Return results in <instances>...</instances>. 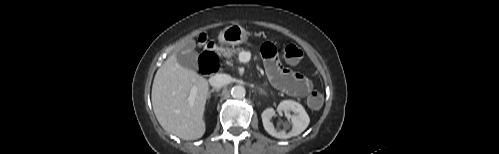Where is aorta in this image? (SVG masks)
Listing matches in <instances>:
<instances>
[{"label":"aorta","mask_w":499,"mask_h":154,"mask_svg":"<svg viewBox=\"0 0 499 154\" xmlns=\"http://www.w3.org/2000/svg\"><path fill=\"white\" fill-rule=\"evenodd\" d=\"M245 94H246L245 88L240 85L234 86L231 90V95L234 98H243Z\"/></svg>","instance_id":"1"}]
</instances>
